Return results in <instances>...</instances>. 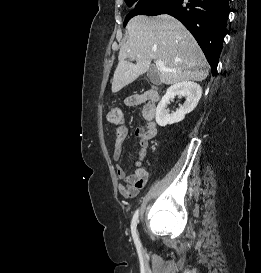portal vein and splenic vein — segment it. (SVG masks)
I'll list each match as a JSON object with an SVG mask.
<instances>
[{"mask_svg":"<svg viewBox=\"0 0 261 273\" xmlns=\"http://www.w3.org/2000/svg\"><path fill=\"white\" fill-rule=\"evenodd\" d=\"M156 64H157L158 69H160L162 71H166V72H172V71H174L173 69L166 68L164 66V62H162V61H157Z\"/></svg>","mask_w":261,"mask_h":273,"instance_id":"portal-vein-and-splenic-vein-1","label":"portal vein and splenic vein"}]
</instances>
